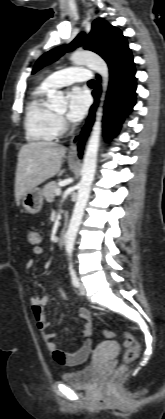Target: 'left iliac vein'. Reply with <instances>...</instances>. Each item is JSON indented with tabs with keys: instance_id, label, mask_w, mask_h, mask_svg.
I'll return each instance as SVG.
<instances>
[{
	"instance_id": "4c4485c4",
	"label": "left iliac vein",
	"mask_w": 165,
	"mask_h": 419,
	"mask_svg": "<svg viewBox=\"0 0 165 419\" xmlns=\"http://www.w3.org/2000/svg\"><path fill=\"white\" fill-rule=\"evenodd\" d=\"M79 293L81 295H85L86 294V288H85L84 284H82V283H80V286H79Z\"/></svg>"
}]
</instances>
